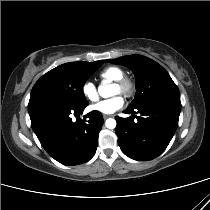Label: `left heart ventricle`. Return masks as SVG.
I'll list each match as a JSON object with an SVG mask.
<instances>
[{
	"mask_svg": "<svg viewBox=\"0 0 210 210\" xmlns=\"http://www.w3.org/2000/svg\"><path fill=\"white\" fill-rule=\"evenodd\" d=\"M119 93V88L117 86H113V94H118Z\"/></svg>",
	"mask_w": 210,
	"mask_h": 210,
	"instance_id": "left-heart-ventricle-1",
	"label": "left heart ventricle"
}]
</instances>
